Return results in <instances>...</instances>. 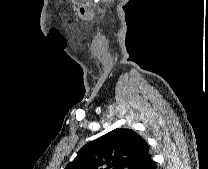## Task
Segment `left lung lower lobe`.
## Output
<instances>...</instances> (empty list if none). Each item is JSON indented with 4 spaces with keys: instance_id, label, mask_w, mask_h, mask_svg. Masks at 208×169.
<instances>
[{
    "instance_id": "0a47b994",
    "label": "left lung lower lobe",
    "mask_w": 208,
    "mask_h": 169,
    "mask_svg": "<svg viewBox=\"0 0 208 169\" xmlns=\"http://www.w3.org/2000/svg\"><path fill=\"white\" fill-rule=\"evenodd\" d=\"M141 169H156L154 165V161L151 159L150 154L145 159V162Z\"/></svg>"
}]
</instances>
